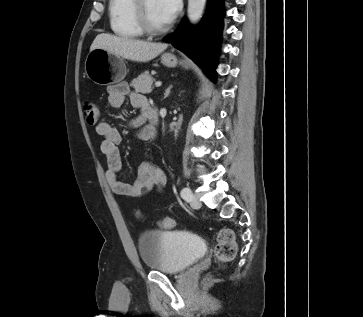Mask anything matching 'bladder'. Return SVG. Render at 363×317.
<instances>
[{
  "label": "bladder",
  "mask_w": 363,
  "mask_h": 317,
  "mask_svg": "<svg viewBox=\"0 0 363 317\" xmlns=\"http://www.w3.org/2000/svg\"><path fill=\"white\" fill-rule=\"evenodd\" d=\"M142 264L153 271L174 275L187 270L206 253L203 239L183 230H148L139 235Z\"/></svg>",
  "instance_id": "1"
}]
</instances>
